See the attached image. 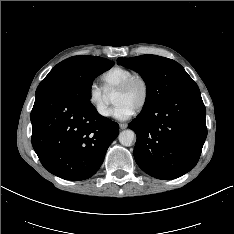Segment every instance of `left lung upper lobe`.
<instances>
[{
	"label": "left lung upper lobe",
	"mask_w": 234,
	"mask_h": 234,
	"mask_svg": "<svg viewBox=\"0 0 234 234\" xmlns=\"http://www.w3.org/2000/svg\"><path fill=\"white\" fill-rule=\"evenodd\" d=\"M117 63L138 72L145 81L147 96L142 112L151 110L168 96L195 83L179 63L165 57L141 55L118 58Z\"/></svg>",
	"instance_id": "obj_1"
}]
</instances>
